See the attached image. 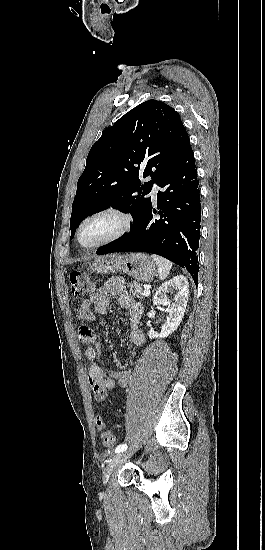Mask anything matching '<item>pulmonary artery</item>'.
Wrapping results in <instances>:
<instances>
[{
	"label": "pulmonary artery",
	"mask_w": 265,
	"mask_h": 550,
	"mask_svg": "<svg viewBox=\"0 0 265 550\" xmlns=\"http://www.w3.org/2000/svg\"><path fill=\"white\" fill-rule=\"evenodd\" d=\"M157 193H158V186H157V184L154 183L153 189H152V192H151V195H152L153 199H156Z\"/></svg>",
	"instance_id": "e3ab8cb5"
}]
</instances>
